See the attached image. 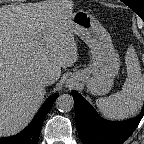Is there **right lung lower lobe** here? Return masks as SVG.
Masks as SVG:
<instances>
[{
    "mask_svg": "<svg viewBox=\"0 0 144 144\" xmlns=\"http://www.w3.org/2000/svg\"><path fill=\"white\" fill-rule=\"evenodd\" d=\"M57 97L58 94H54L45 101L24 131L15 136L0 138V144H37L43 121Z\"/></svg>",
    "mask_w": 144,
    "mask_h": 144,
    "instance_id": "obj_1",
    "label": "right lung lower lobe"
}]
</instances>
